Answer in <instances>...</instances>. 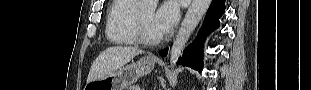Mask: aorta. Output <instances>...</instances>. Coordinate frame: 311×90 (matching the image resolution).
Segmentation results:
<instances>
[{"mask_svg":"<svg viewBox=\"0 0 311 90\" xmlns=\"http://www.w3.org/2000/svg\"><path fill=\"white\" fill-rule=\"evenodd\" d=\"M211 0H192L190 7L187 10V13L181 23L179 31L175 37L173 45L170 49V64L173 67L184 46L189 40L191 34L198 26L200 20L206 13ZM157 7V0H141L139 9L141 11L153 12Z\"/></svg>","mask_w":311,"mask_h":90,"instance_id":"obj_1","label":"aorta"}]
</instances>
